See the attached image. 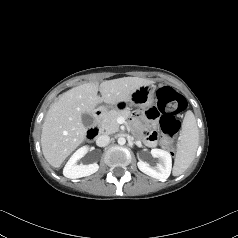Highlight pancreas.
<instances>
[{
    "mask_svg": "<svg viewBox=\"0 0 238 238\" xmlns=\"http://www.w3.org/2000/svg\"><path fill=\"white\" fill-rule=\"evenodd\" d=\"M130 116L129 110H110L100 122L101 130H105L107 134H112L119 131L117 118L123 117L127 119Z\"/></svg>",
    "mask_w": 238,
    "mask_h": 238,
    "instance_id": "obj_1",
    "label": "pancreas"
}]
</instances>
